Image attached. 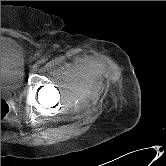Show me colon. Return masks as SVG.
<instances>
[{
  "label": "colon",
  "mask_w": 166,
  "mask_h": 166,
  "mask_svg": "<svg viewBox=\"0 0 166 166\" xmlns=\"http://www.w3.org/2000/svg\"><path fill=\"white\" fill-rule=\"evenodd\" d=\"M9 112V106L7 102L1 98V120L4 119Z\"/></svg>",
  "instance_id": "1"
}]
</instances>
